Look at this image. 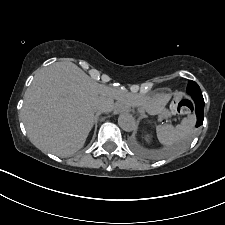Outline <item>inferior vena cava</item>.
Here are the masks:
<instances>
[{"instance_id":"inferior-vena-cava-1","label":"inferior vena cava","mask_w":225,"mask_h":225,"mask_svg":"<svg viewBox=\"0 0 225 225\" xmlns=\"http://www.w3.org/2000/svg\"><path fill=\"white\" fill-rule=\"evenodd\" d=\"M97 109H98L99 111H104V108H103L102 106H98Z\"/></svg>"}]
</instances>
